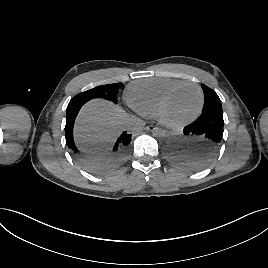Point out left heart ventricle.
<instances>
[{
    "instance_id": "b2bd125f",
    "label": "left heart ventricle",
    "mask_w": 268,
    "mask_h": 268,
    "mask_svg": "<svg viewBox=\"0 0 268 268\" xmlns=\"http://www.w3.org/2000/svg\"><path fill=\"white\" fill-rule=\"evenodd\" d=\"M199 104V92L193 86L179 89L169 100L164 117L170 121H179L192 115Z\"/></svg>"
}]
</instances>
